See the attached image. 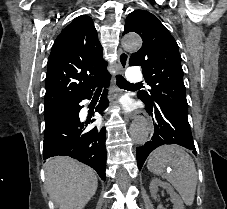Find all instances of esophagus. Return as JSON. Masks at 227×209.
I'll list each match as a JSON object with an SVG mask.
<instances>
[{
    "instance_id": "34e87169",
    "label": "esophagus",
    "mask_w": 227,
    "mask_h": 209,
    "mask_svg": "<svg viewBox=\"0 0 227 209\" xmlns=\"http://www.w3.org/2000/svg\"><path fill=\"white\" fill-rule=\"evenodd\" d=\"M129 54L124 50H118V63H119V73L123 74L128 66ZM135 120L142 121L144 125H147V138H154V132L156 125L152 124V116L149 112H145L144 108H136Z\"/></svg>"
}]
</instances>
